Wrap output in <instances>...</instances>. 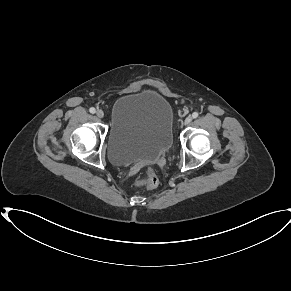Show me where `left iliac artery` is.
Returning a JSON list of instances; mask_svg holds the SVG:
<instances>
[{
	"instance_id": "1",
	"label": "left iliac artery",
	"mask_w": 291,
	"mask_h": 291,
	"mask_svg": "<svg viewBox=\"0 0 291 291\" xmlns=\"http://www.w3.org/2000/svg\"><path fill=\"white\" fill-rule=\"evenodd\" d=\"M198 115H199L198 112H194V113L192 114V117H193V118H197Z\"/></svg>"
}]
</instances>
